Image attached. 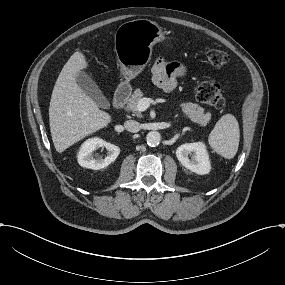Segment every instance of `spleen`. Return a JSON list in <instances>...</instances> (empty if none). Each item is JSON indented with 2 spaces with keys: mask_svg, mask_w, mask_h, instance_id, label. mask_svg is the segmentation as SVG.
Segmentation results:
<instances>
[{
  "mask_svg": "<svg viewBox=\"0 0 285 285\" xmlns=\"http://www.w3.org/2000/svg\"><path fill=\"white\" fill-rule=\"evenodd\" d=\"M240 128L232 113L223 114L208 137L209 146L224 159L231 160L238 151Z\"/></svg>",
  "mask_w": 285,
  "mask_h": 285,
  "instance_id": "spleen-1",
  "label": "spleen"
}]
</instances>
